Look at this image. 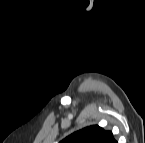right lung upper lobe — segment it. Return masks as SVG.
<instances>
[{
    "instance_id": "cb5924a9",
    "label": "right lung upper lobe",
    "mask_w": 145,
    "mask_h": 143,
    "mask_svg": "<svg viewBox=\"0 0 145 143\" xmlns=\"http://www.w3.org/2000/svg\"><path fill=\"white\" fill-rule=\"evenodd\" d=\"M61 143H116L110 131L97 125L86 127L66 137Z\"/></svg>"
}]
</instances>
